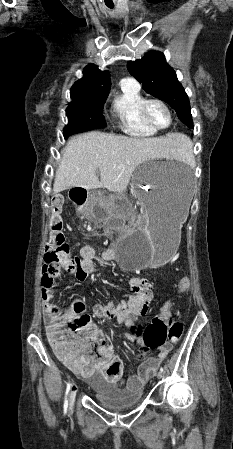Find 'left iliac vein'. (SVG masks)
I'll return each instance as SVG.
<instances>
[{
  "mask_svg": "<svg viewBox=\"0 0 233 449\" xmlns=\"http://www.w3.org/2000/svg\"><path fill=\"white\" fill-rule=\"evenodd\" d=\"M163 377V373L161 372V371H159L158 373H157V378L158 379H161Z\"/></svg>",
  "mask_w": 233,
  "mask_h": 449,
  "instance_id": "left-iliac-vein-1",
  "label": "left iliac vein"
}]
</instances>
